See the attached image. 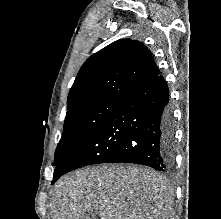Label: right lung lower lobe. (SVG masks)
<instances>
[{"instance_id": "right-lung-lower-lobe-1", "label": "right lung lower lobe", "mask_w": 221, "mask_h": 219, "mask_svg": "<svg viewBox=\"0 0 221 219\" xmlns=\"http://www.w3.org/2000/svg\"><path fill=\"white\" fill-rule=\"evenodd\" d=\"M168 87L158 75L127 94L97 131L55 168L52 184L74 169L135 163L167 172L174 164V121Z\"/></svg>"}]
</instances>
